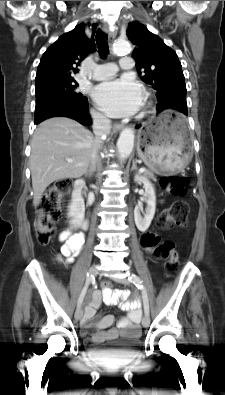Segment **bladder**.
I'll list each match as a JSON object with an SVG mask.
<instances>
[{"mask_svg": "<svg viewBox=\"0 0 225 395\" xmlns=\"http://www.w3.org/2000/svg\"><path fill=\"white\" fill-rule=\"evenodd\" d=\"M142 346L140 339L120 341L108 350L100 351V355L108 358L123 359L137 352Z\"/></svg>", "mask_w": 225, "mask_h": 395, "instance_id": "obj_1", "label": "bladder"}]
</instances>
